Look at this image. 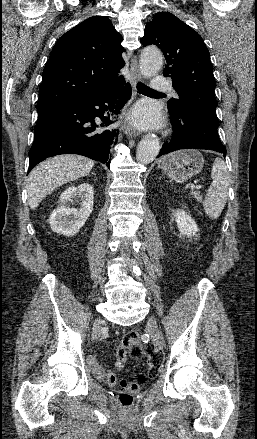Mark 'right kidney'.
Returning <instances> with one entry per match:
<instances>
[{
  "label": "right kidney",
  "mask_w": 257,
  "mask_h": 439,
  "mask_svg": "<svg viewBox=\"0 0 257 439\" xmlns=\"http://www.w3.org/2000/svg\"><path fill=\"white\" fill-rule=\"evenodd\" d=\"M80 201V208H70L69 204ZM94 204V190L89 183L68 187L61 195L59 205L51 213L49 223L53 232L64 236H74L90 216Z\"/></svg>",
  "instance_id": "obj_1"
}]
</instances>
